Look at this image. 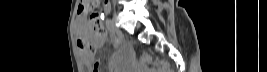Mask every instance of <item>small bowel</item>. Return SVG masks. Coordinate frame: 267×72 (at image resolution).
Wrapping results in <instances>:
<instances>
[{
  "mask_svg": "<svg viewBox=\"0 0 267 72\" xmlns=\"http://www.w3.org/2000/svg\"><path fill=\"white\" fill-rule=\"evenodd\" d=\"M110 5L108 3H104L103 5V10L106 11V12H109L110 11ZM105 39L106 37L103 36V37H96V36H92L91 38V42H92V45L94 48H98L100 46H102L105 42ZM116 43H119L120 42V39L119 38H115L114 39ZM82 58L84 60L85 63H88L89 61L92 60L93 58V53L92 52H85L82 54ZM110 67L112 68V62H110Z\"/></svg>",
  "mask_w": 267,
  "mask_h": 72,
  "instance_id": "small-bowel-1",
  "label": "small bowel"
}]
</instances>
